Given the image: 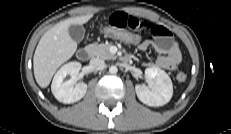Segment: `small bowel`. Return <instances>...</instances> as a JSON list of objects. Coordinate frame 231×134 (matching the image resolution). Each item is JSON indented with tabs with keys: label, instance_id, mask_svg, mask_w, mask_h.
<instances>
[{
	"label": "small bowel",
	"instance_id": "obj_1",
	"mask_svg": "<svg viewBox=\"0 0 231 134\" xmlns=\"http://www.w3.org/2000/svg\"><path fill=\"white\" fill-rule=\"evenodd\" d=\"M108 22L111 27L134 32H147L153 37V41L145 40L138 46L141 51L151 48L159 54L154 62L145 63L147 67L171 71L179 67L182 55L179 46L173 41L170 31L166 27L148 20H141L135 15L121 11L111 14Z\"/></svg>",
	"mask_w": 231,
	"mask_h": 134
}]
</instances>
